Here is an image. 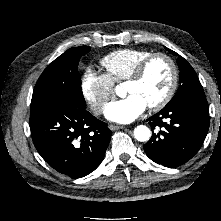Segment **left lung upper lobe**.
<instances>
[{"label":"left lung upper lobe","instance_id":"left-lung-upper-lobe-1","mask_svg":"<svg viewBox=\"0 0 221 221\" xmlns=\"http://www.w3.org/2000/svg\"><path fill=\"white\" fill-rule=\"evenodd\" d=\"M172 54L179 56L176 52L166 48ZM177 64L180 70V86L171 101L165 106H174L185 100L206 99L203 87L192 66L183 57L179 56Z\"/></svg>","mask_w":221,"mask_h":221}]
</instances>
